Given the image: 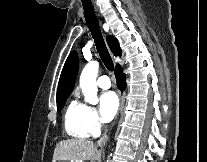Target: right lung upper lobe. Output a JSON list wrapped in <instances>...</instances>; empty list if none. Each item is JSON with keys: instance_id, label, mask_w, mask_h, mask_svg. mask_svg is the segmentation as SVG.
<instances>
[{"instance_id": "obj_1", "label": "right lung upper lobe", "mask_w": 207, "mask_h": 162, "mask_svg": "<svg viewBox=\"0 0 207 162\" xmlns=\"http://www.w3.org/2000/svg\"><path fill=\"white\" fill-rule=\"evenodd\" d=\"M108 45L115 55L121 56V49L117 40L109 36L107 38ZM78 71L77 53L73 51L67 58L59 80L57 90V100L68 97L73 90L75 79Z\"/></svg>"}]
</instances>
